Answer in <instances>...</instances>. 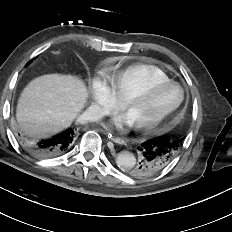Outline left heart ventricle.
Returning a JSON list of instances; mask_svg holds the SVG:
<instances>
[{"label": "left heart ventricle", "mask_w": 232, "mask_h": 232, "mask_svg": "<svg viewBox=\"0 0 232 232\" xmlns=\"http://www.w3.org/2000/svg\"><path fill=\"white\" fill-rule=\"evenodd\" d=\"M180 99V90L175 86L163 88L145 101L135 103L127 109L133 124L154 120L170 109Z\"/></svg>", "instance_id": "b2bd125f"}]
</instances>
